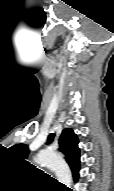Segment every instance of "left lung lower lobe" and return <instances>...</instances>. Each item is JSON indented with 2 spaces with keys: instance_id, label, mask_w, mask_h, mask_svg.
<instances>
[{
  "instance_id": "1",
  "label": "left lung lower lobe",
  "mask_w": 114,
  "mask_h": 191,
  "mask_svg": "<svg viewBox=\"0 0 114 191\" xmlns=\"http://www.w3.org/2000/svg\"><path fill=\"white\" fill-rule=\"evenodd\" d=\"M79 169H80V166H79V165H77L76 167H74V168L72 169V172H73V176H74V180H75V181L78 180V177H79L78 171H79Z\"/></svg>"
}]
</instances>
